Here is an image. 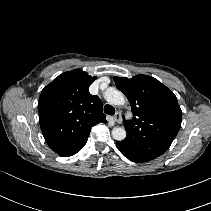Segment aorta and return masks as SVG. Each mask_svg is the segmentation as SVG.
I'll return each instance as SVG.
<instances>
[{
    "instance_id": "1",
    "label": "aorta",
    "mask_w": 211,
    "mask_h": 211,
    "mask_svg": "<svg viewBox=\"0 0 211 211\" xmlns=\"http://www.w3.org/2000/svg\"><path fill=\"white\" fill-rule=\"evenodd\" d=\"M104 98L112 105H123L126 102L124 94L115 88L108 89L105 92ZM126 135V130L123 127H115L112 130V137L115 140L122 141L126 138Z\"/></svg>"
}]
</instances>
